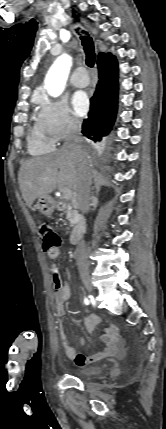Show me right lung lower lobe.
Wrapping results in <instances>:
<instances>
[{
  "instance_id": "1",
  "label": "right lung lower lobe",
  "mask_w": 166,
  "mask_h": 429,
  "mask_svg": "<svg viewBox=\"0 0 166 429\" xmlns=\"http://www.w3.org/2000/svg\"><path fill=\"white\" fill-rule=\"evenodd\" d=\"M99 81L90 99V112L82 124V133L94 142L101 141L111 131L117 113L118 64L108 53L98 57Z\"/></svg>"
}]
</instances>
